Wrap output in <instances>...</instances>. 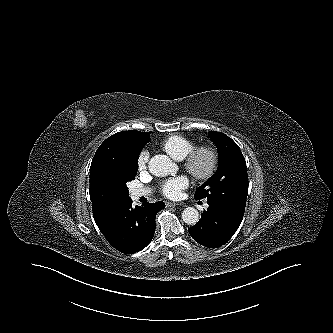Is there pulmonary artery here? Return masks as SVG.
I'll return each instance as SVG.
<instances>
[{
    "label": "pulmonary artery",
    "mask_w": 333,
    "mask_h": 333,
    "mask_svg": "<svg viewBox=\"0 0 333 333\" xmlns=\"http://www.w3.org/2000/svg\"><path fill=\"white\" fill-rule=\"evenodd\" d=\"M133 196L138 198L142 196H147L151 193V190L148 188H137L133 190Z\"/></svg>",
    "instance_id": "obj_1"
}]
</instances>
